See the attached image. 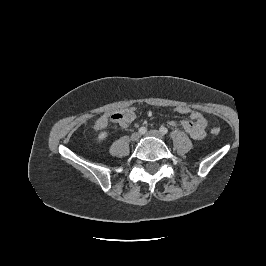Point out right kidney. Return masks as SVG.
Wrapping results in <instances>:
<instances>
[{
  "label": "right kidney",
  "mask_w": 266,
  "mask_h": 266,
  "mask_svg": "<svg viewBox=\"0 0 266 266\" xmlns=\"http://www.w3.org/2000/svg\"><path fill=\"white\" fill-rule=\"evenodd\" d=\"M108 136V133L106 131H102L99 136L97 137V141L101 142Z\"/></svg>",
  "instance_id": "right-kidney-1"
}]
</instances>
